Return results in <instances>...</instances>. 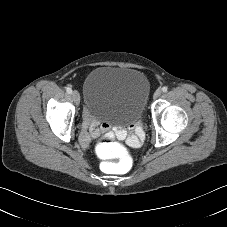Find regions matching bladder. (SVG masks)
Returning <instances> with one entry per match:
<instances>
[{"label":"bladder","instance_id":"bladder-1","mask_svg":"<svg viewBox=\"0 0 227 227\" xmlns=\"http://www.w3.org/2000/svg\"><path fill=\"white\" fill-rule=\"evenodd\" d=\"M149 93L145 76L132 68L100 66L84 83V98L91 113L109 122L138 120Z\"/></svg>","mask_w":227,"mask_h":227}]
</instances>
